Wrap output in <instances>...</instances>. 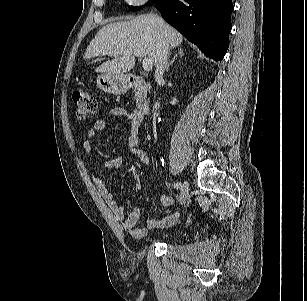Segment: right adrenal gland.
Wrapping results in <instances>:
<instances>
[{
  "mask_svg": "<svg viewBox=\"0 0 307 301\" xmlns=\"http://www.w3.org/2000/svg\"><path fill=\"white\" fill-rule=\"evenodd\" d=\"M178 55L180 57H183L184 56V53H183V49L180 47L178 48V53L173 57V59L170 61V63H168L167 67H166V71H169L170 69V66L174 63V61L176 60V58L178 57Z\"/></svg>",
  "mask_w": 307,
  "mask_h": 301,
  "instance_id": "1",
  "label": "right adrenal gland"
}]
</instances>
